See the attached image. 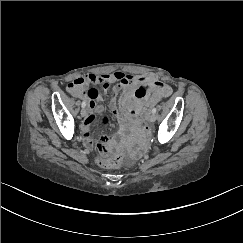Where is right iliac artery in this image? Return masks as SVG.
I'll return each mask as SVG.
<instances>
[{
  "label": "right iliac artery",
  "instance_id": "obj_1",
  "mask_svg": "<svg viewBox=\"0 0 243 243\" xmlns=\"http://www.w3.org/2000/svg\"><path fill=\"white\" fill-rule=\"evenodd\" d=\"M86 106V103L83 101L82 102V108H84Z\"/></svg>",
  "mask_w": 243,
  "mask_h": 243
}]
</instances>
